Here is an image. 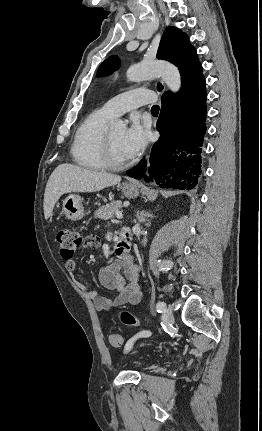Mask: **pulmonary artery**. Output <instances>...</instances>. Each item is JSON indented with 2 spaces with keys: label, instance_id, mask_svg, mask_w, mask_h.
I'll return each instance as SVG.
<instances>
[{
  "label": "pulmonary artery",
  "instance_id": "e3ab8cb5",
  "mask_svg": "<svg viewBox=\"0 0 262 431\" xmlns=\"http://www.w3.org/2000/svg\"><path fill=\"white\" fill-rule=\"evenodd\" d=\"M154 101L155 95L152 91L139 87L116 95L108 100L103 107L110 115L119 116L142 105L151 104Z\"/></svg>",
  "mask_w": 262,
  "mask_h": 431
}]
</instances>
